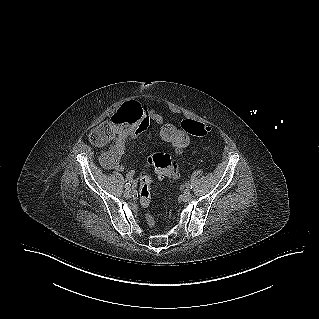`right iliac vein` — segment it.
<instances>
[{
    "label": "right iliac vein",
    "mask_w": 319,
    "mask_h": 319,
    "mask_svg": "<svg viewBox=\"0 0 319 319\" xmlns=\"http://www.w3.org/2000/svg\"><path fill=\"white\" fill-rule=\"evenodd\" d=\"M132 194H133V191L131 189H126L124 191V197L125 198H131L132 197Z\"/></svg>",
    "instance_id": "1"
}]
</instances>
